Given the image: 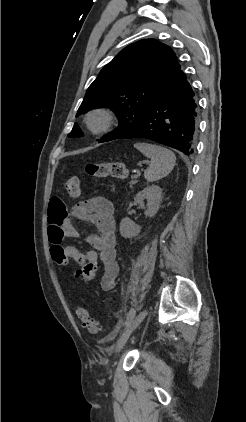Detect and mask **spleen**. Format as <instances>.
<instances>
[{
    "label": "spleen",
    "instance_id": "spleen-1",
    "mask_svg": "<svg viewBox=\"0 0 246 422\" xmlns=\"http://www.w3.org/2000/svg\"><path fill=\"white\" fill-rule=\"evenodd\" d=\"M134 147L146 157L151 158L150 165L144 172V177L148 182L162 179L175 166L176 156L166 147L149 143H135Z\"/></svg>",
    "mask_w": 246,
    "mask_h": 422
}]
</instances>
